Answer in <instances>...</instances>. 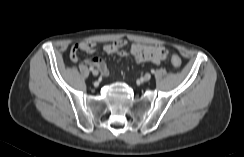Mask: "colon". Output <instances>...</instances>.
Returning <instances> with one entry per match:
<instances>
[{
  "label": "colon",
  "instance_id": "obj_1",
  "mask_svg": "<svg viewBox=\"0 0 244 157\" xmlns=\"http://www.w3.org/2000/svg\"><path fill=\"white\" fill-rule=\"evenodd\" d=\"M171 62H172V65L176 68L180 67L182 64L180 57L177 55L171 56Z\"/></svg>",
  "mask_w": 244,
  "mask_h": 157
}]
</instances>
